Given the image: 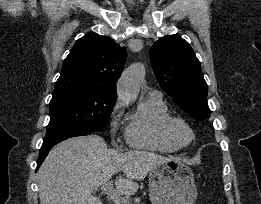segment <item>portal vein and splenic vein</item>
Listing matches in <instances>:
<instances>
[{"instance_id": "18ae733b", "label": "portal vein and splenic vein", "mask_w": 261, "mask_h": 204, "mask_svg": "<svg viewBox=\"0 0 261 204\" xmlns=\"http://www.w3.org/2000/svg\"><path fill=\"white\" fill-rule=\"evenodd\" d=\"M100 188L110 197V199L114 201L115 204H132L130 201L124 199L118 192H116L111 181H107Z\"/></svg>"}]
</instances>
